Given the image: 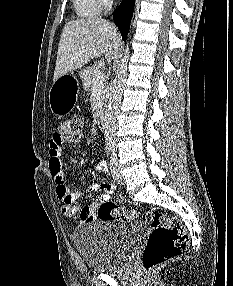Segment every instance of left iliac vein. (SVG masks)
I'll list each match as a JSON object with an SVG mask.
<instances>
[{"label":"left iliac vein","instance_id":"left-iliac-vein-1","mask_svg":"<svg viewBox=\"0 0 233 286\" xmlns=\"http://www.w3.org/2000/svg\"><path fill=\"white\" fill-rule=\"evenodd\" d=\"M110 170H111V174H112L114 180L121 185L124 184L125 179H124V176H123L121 169L118 165L116 155H113L111 158Z\"/></svg>","mask_w":233,"mask_h":286}]
</instances>
